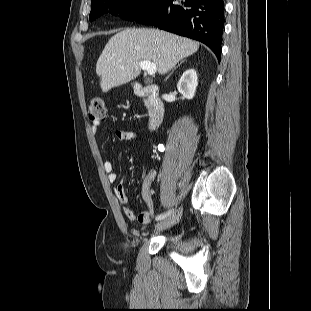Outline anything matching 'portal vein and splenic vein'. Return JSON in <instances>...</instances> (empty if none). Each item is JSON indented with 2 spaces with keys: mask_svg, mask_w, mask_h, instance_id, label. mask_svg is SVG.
Here are the masks:
<instances>
[{
  "mask_svg": "<svg viewBox=\"0 0 311 311\" xmlns=\"http://www.w3.org/2000/svg\"><path fill=\"white\" fill-rule=\"evenodd\" d=\"M139 66L142 70H145L148 75H154L157 71L156 65L151 61H140Z\"/></svg>",
  "mask_w": 311,
  "mask_h": 311,
  "instance_id": "1",
  "label": "portal vein and splenic vein"
}]
</instances>
